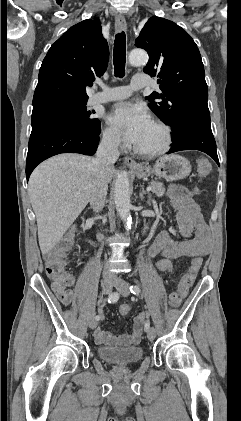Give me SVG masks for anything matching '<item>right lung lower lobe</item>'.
Instances as JSON below:
<instances>
[{"label":"right lung lower lobe","mask_w":241,"mask_h":421,"mask_svg":"<svg viewBox=\"0 0 241 421\" xmlns=\"http://www.w3.org/2000/svg\"><path fill=\"white\" fill-rule=\"evenodd\" d=\"M99 134L61 122L32 128L26 162L27 181L39 163L54 155L67 152L93 155L99 143Z\"/></svg>","instance_id":"obj_1"}]
</instances>
